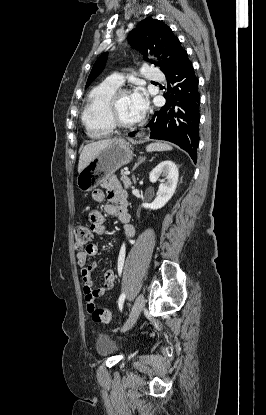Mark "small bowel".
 Here are the masks:
<instances>
[{
  "instance_id": "c3829d8e",
  "label": "small bowel",
  "mask_w": 266,
  "mask_h": 415,
  "mask_svg": "<svg viewBox=\"0 0 266 415\" xmlns=\"http://www.w3.org/2000/svg\"><path fill=\"white\" fill-rule=\"evenodd\" d=\"M105 196L108 198V204L105 205V212L115 218H118L124 224V233L127 240H130L135 234V228L130 222V215L127 210L126 192L116 177H108L103 188L96 189L92 193L94 201L101 202ZM90 227L96 234L105 232L104 215L99 210H92L89 214ZM98 247L95 244H89L84 249L76 253V263L81 268V277L83 281V290L88 310L94 309L95 301L103 296L107 291L114 287L116 280V272L108 270L104 275V286L102 288H94L92 273L96 269L95 262L87 263L88 258L96 256Z\"/></svg>"
}]
</instances>
